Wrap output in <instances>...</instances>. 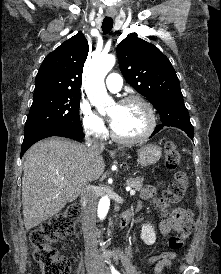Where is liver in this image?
Here are the masks:
<instances>
[{
	"label": "liver",
	"instance_id": "1",
	"mask_svg": "<svg viewBox=\"0 0 221 274\" xmlns=\"http://www.w3.org/2000/svg\"><path fill=\"white\" fill-rule=\"evenodd\" d=\"M100 153L91 154L83 144L63 138L39 141L26 152L22 204L27 231L58 214L102 175Z\"/></svg>",
	"mask_w": 221,
	"mask_h": 274
}]
</instances>
